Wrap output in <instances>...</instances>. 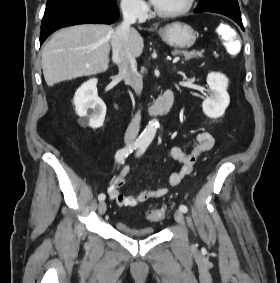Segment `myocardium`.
<instances>
[{"label":"myocardium","mask_w":280,"mask_h":283,"mask_svg":"<svg viewBox=\"0 0 280 283\" xmlns=\"http://www.w3.org/2000/svg\"><path fill=\"white\" fill-rule=\"evenodd\" d=\"M194 2L195 0H186L185 4L181 8L170 12H162L158 10L156 7H154V12L157 16L161 18H165V19L176 18L188 13L192 9Z\"/></svg>","instance_id":"f54148a6"}]
</instances>
